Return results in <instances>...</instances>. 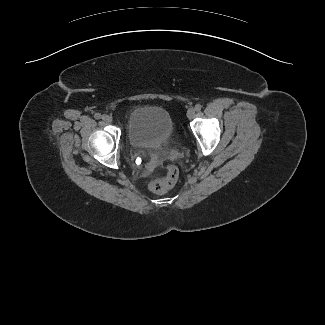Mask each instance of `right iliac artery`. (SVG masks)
Instances as JSON below:
<instances>
[{
	"label": "right iliac artery",
	"mask_w": 325,
	"mask_h": 325,
	"mask_svg": "<svg viewBox=\"0 0 325 325\" xmlns=\"http://www.w3.org/2000/svg\"><path fill=\"white\" fill-rule=\"evenodd\" d=\"M94 118H95V119H100V118H101V114H100V113H96V114L94 115Z\"/></svg>",
	"instance_id": "right-iliac-artery-1"
}]
</instances>
